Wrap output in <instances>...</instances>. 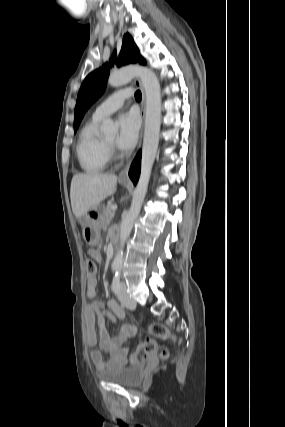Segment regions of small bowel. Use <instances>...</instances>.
<instances>
[{"instance_id": "c3829d8e", "label": "small bowel", "mask_w": 285, "mask_h": 427, "mask_svg": "<svg viewBox=\"0 0 285 427\" xmlns=\"http://www.w3.org/2000/svg\"><path fill=\"white\" fill-rule=\"evenodd\" d=\"M91 258L97 262L101 261L100 253L92 249L89 252ZM97 280L92 279L87 282V296L92 300L86 308L85 313V336L88 346L94 347L99 345L100 349L109 354V358L105 360L100 351H92L90 353L91 361L98 371L105 368L121 367L126 362V356L129 348H122L121 346L126 341L127 337L136 334V328L124 321V312L113 300L104 303L101 300L95 299V289ZM107 306L112 313H106L103 308ZM104 317L113 322H123L119 331L110 335L104 326Z\"/></svg>"}]
</instances>
